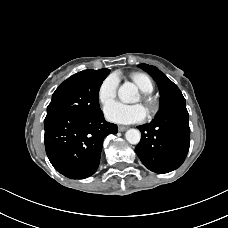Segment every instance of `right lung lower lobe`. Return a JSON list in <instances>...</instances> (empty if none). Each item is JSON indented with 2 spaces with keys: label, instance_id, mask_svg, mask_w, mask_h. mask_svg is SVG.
Segmentation results:
<instances>
[{
  "label": "right lung lower lobe",
  "instance_id": "1",
  "mask_svg": "<svg viewBox=\"0 0 228 228\" xmlns=\"http://www.w3.org/2000/svg\"><path fill=\"white\" fill-rule=\"evenodd\" d=\"M47 156L54 168L72 179H84L99 166L102 144L108 134L118 132L117 125L97 114L54 113L44 121Z\"/></svg>",
  "mask_w": 228,
  "mask_h": 228
}]
</instances>
